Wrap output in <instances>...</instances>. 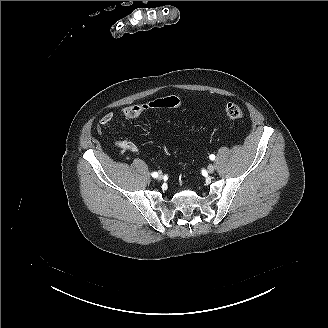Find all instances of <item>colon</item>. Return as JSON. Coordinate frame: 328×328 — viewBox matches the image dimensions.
Masks as SVG:
<instances>
[{"mask_svg":"<svg viewBox=\"0 0 328 328\" xmlns=\"http://www.w3.org/2000/svg\"><path fill=\"white\" fill-rule=\"evenodd\" d=\"M180 100L176 96H166L157 98L145 103L135 104L126 107L123 110V117L128 120H132L140 116L142 113L157 109V108H175L179 105ZM225 114L232 120H238L243 117L242 109L233 103L227 104L225 107Z\"/></svg>","mask_w":328,"mask_h":328,"instance_id":"obj_1","label":"colon"}]
</instances>
